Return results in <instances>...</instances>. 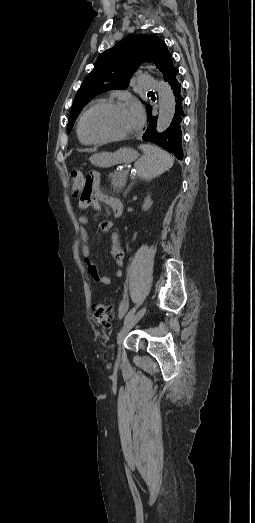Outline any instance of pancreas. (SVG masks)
<instances>
[{"instance_id": "pancreas-1", "label": "pancreas", "mask_w": 255, "mask_h": 523, "mask_svg": "<svg viewBox=\"0 0 255 523\" xmlns=\"http://www.w3.org/2000/svg\"><path fill=\"white\" fill-rule=\"evenodd\" d=\"M109 178H111V186H113L114 192L116 194H119L121 190H123L124 186H126L128 174H125L123 170L121 172H114V174H110Z\"/></svg>"}]
</instances>
